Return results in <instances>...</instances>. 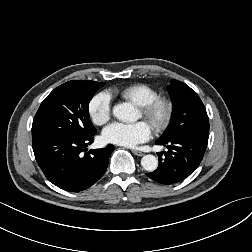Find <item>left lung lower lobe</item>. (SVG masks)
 Returning a JSON list of instances; mask_svg holds the SVG:
<instances>
[{
    "label": "left lung lower lobe",
    "mask_w": 252,
    "mask_h": 252,
    "mask_svg": "<svg viewBox=\"0 0 252 252\" xmlns=\"http://www.w3.org/2000/svg\"><path fill=\"white\" fill-rule=\"evenodd\" d=\"M209 134L189 132L169 140H157L158 145L168 148L158 153L159 166L146 175L161 184H173L182 181L199 166L208 143ZM162 154L165 157L162 158Z\"/></svg>",
    "instance_id": "0a47b994"
}]
</instances>
